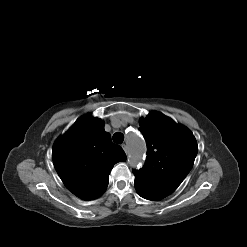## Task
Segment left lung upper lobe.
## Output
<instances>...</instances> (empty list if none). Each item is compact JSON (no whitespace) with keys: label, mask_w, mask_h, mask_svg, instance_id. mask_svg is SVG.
Instances as JSON below:
<instances>
[{"label":"left lung upper lobe","mask_w":247,"mask_h":247,"mask_svg":"<svg viewBox=\"0 0 247 247\" xmlns=\"http://www.w3.org/2000/svg\"><path fill=\"white\" fill-rule=\"evenodd\" d=\"M139 124L147 157L143 168L133 171L135 183L162 199L173 193L190 172L198 152L196 139L188 128L156 111Z\"/></svg>","instance_id":"obj_1"}]
</instances>
